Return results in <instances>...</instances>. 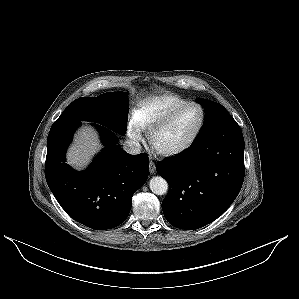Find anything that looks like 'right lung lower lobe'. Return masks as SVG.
Masks as SVG:
<instances>
[{"label":"right lung lower lobe","instance_id":"98d812e1","mask_svg":"<svg viewBox=\"0 0 299 299\" xmlns=\"http://www.w3.org/2000/svg\"><path fill=\"white\" fill-rule=\"evenodd\" d=\"M80 120L58 119L47 139L45 176L50 190L65 212L94 230L112 229L129 215L132 196L147 180L148 156L127 154L115 131L93 124L104 149L87 170L78 172L66 164L65 152Z\"/></svg>","mask_w":299,"mask_h":299}]
</instances>
